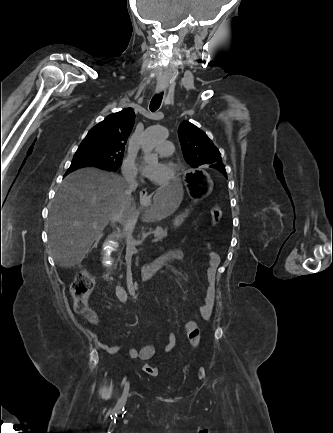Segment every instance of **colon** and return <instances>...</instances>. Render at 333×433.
I'll use <instances>...</instances> for the list:
<instances>
[{
  "label": "colon",
  "mask_w": 333,
  "mask_h": 433,
  "mask_svg": "<svg viewBox=\"0 0 333 433\" xmlns=\"http://www.w3.org/2000/svg\"><path fill=\"white\" fill-rule=\"evenodd\" d=\"M210 216L213 223H218L222 217V209L219 205L215 204L210 210ZM94 288V279L88 272H82L74 279L71 285V294L75 301V310L78 314L93 319V314L88 307V299ZM184 314V311H181ZM188 321V318H185ZM189 336L190 343L197 347L200 342V331L197 328L193 329ZM144 371L152 376L159 374V369L155 366L145 364Z\"/></svg>",
  "instance_id": "5ec220e1"
}]
</instances>
